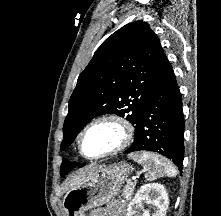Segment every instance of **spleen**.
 Masks as SVG:
<instances>
[{
  "label": "spleen",
  "instance_id": "1",
  "mask_svg": "<svg viewBox=\"0 0 221 216\" xmlns=\"http://www.w3.org/2000/svg\"><path fill=\"white\" fill-rule=\"evenodd\" d=\"M130 157L144 167L148 181H154L164 175L175 177L177 174V170L167 159L153 153L143 151L131 154Z\"/></svg>",
  "mask_w": 221,
  "mask_h": 216
}]
</instances>
